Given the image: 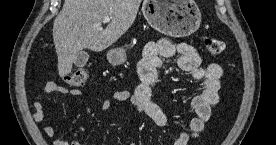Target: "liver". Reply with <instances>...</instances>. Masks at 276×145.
<instances>
[{
	"instance_id": "obj_1",
	"label": "liver",
	"mask_w": 276,
	"mask_h": 145,
	"mask_svg": "<svg viewBox=\"0 0 276 145\" xmlns=\"http://www.w3.org/2000/svg\"><path fill=\"white\" fill-rule=\"evenodd\" d=\"M142 0H65L53 23V41L61 77L72 71L83 49L100 52L116 42L134 23ZM111 17L103 29L102 19Z\"/></svg>"
}]
</instances>
